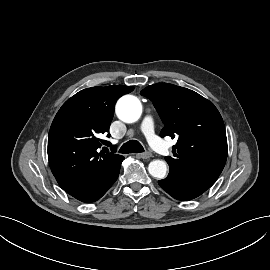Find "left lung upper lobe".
Returning a JSON list of instances; mask_svg holds the SVG:
<instances>
[{"label": "left lung upper lobe", "instance_id": "5c2ea615", "mask_svg": "<svg viewBox=\"0 0 270 270\" xmlns=\"http://www.w3.org/2000/svg\"><path fill=\"white\" fill-rule=\"evenodd\" d=\"M141 95L153 102L164 123L160 136L178 139L174 156L165 157L169 167L217 179L227 159V138L214 104L190 89L169 83L150 85Z\"/></svg>", "mask_w": 270, "mask_h": 270}]
</instances>
